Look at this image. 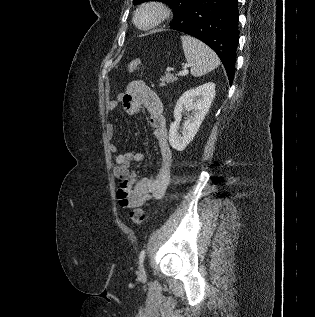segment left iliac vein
<instances>
[{
	"label": "left iliac vein",
	"mask_w": 315,
	"mask_h": 317,
	"mask_svg": "<svg viewBox=\"0 0 315 317\" xmlns=\"http://www.w3.org/2000/svg\"><path fill=\"white\" fill-rule=\"evenodd\" d=\"M139 278H140V279H145V278H146V270H145L144 266H142V267L140 268Z\"/></svg>",
	"instance_id": "left-iliac-vein-1"
}]
</instances>
